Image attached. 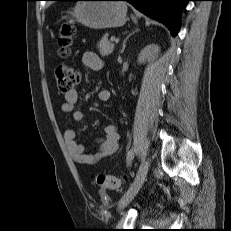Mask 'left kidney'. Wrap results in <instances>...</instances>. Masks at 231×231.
Here are the masks:
<instances>
[{"label": "left kidney", "mask_w": 231, "mask_h": 231, "mask_svg": "<svg viewBox=\"0 0 231 231\" xmlns=\"http://www.w3.org/2000/svg\"><path fill=\"white\" fill-rule=\"evenodd\" d=\"M159 52V47L157 45H147L138 56V63H145L151 58L152 55Z\"/></svg>", "instance_id": "obj_1"}]
</instances>
